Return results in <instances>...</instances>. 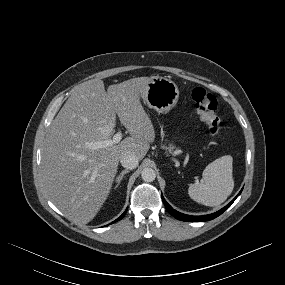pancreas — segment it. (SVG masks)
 <instances>
[{"mask_svg":"<svg viewBox=\"0 0 285 285\" xmlns=\"http://www.w3.org/2000/svg\"><path fill=\"white\" fill-rule=\"evenodd\" d=\"M167 149H168V151H169L170 153H172L174 147H173V146H170V147H168Z\"/></svg>","mask_w":285,"mask_h":285,"instance_id":"obj_1","label":"pancreas"}]
</instances>
